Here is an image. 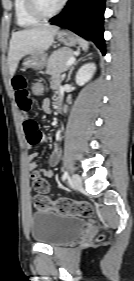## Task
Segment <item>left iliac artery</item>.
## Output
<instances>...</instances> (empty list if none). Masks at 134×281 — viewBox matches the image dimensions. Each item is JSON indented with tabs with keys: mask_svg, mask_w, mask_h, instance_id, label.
<instances>
[{
	"mask_svg": "<svg viewBox=\"0 0 134 281\" xmlns=\"http://www.w3.org/2000/svg\"><path fill=\"white\" fill-rule=\"evenodd\" d=\"M68 178V172L64 171L63 175H62V180H66Z\"/></svg>",
	"mask_w": 134,
	"mask_h": 281,
	"instance_id": "44dca946",
	"label": "left iliac artery"
}]
</instances>
